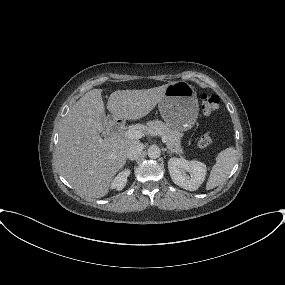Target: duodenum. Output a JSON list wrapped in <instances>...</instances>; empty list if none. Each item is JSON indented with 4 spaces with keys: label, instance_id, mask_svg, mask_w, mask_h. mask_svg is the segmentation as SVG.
Returning a JSON list of instances; mask_svg holds the SVG:
<instances>
[{
    "label": "duodenum",
    "instance_id": "1",
    "mask_svg": "<svg viewBox=\"0 0 285 285\" xmlns=\"http://www.w3.org/2000/svg\"><path fill=\"white\" fill-rule=\"evenodd\" d=\"M110 131L113 135H120L124 131V123L121 120H115L110 125Z\"/></svg>",
    "mask_w": 285,
    "mask_h": 285
}]
</instances>
